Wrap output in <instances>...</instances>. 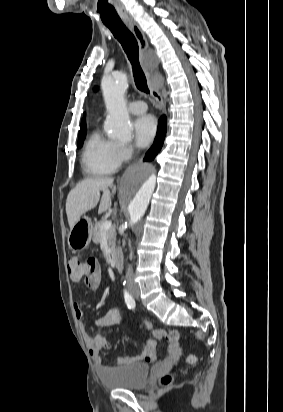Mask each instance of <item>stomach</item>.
I'll use <instances>...</instances> for the list:
<instances>
[{
    "label": "stomach",
    "mask_w": 283,
    "mask_h": 412,
    "mask_svg": "<svg viewBox=\"0 0 283 412\" xmlns=\"http://www.w3.org/2000/svg\"><path fill=\"white\" fill-rule=\"evenodd\" d=\"M93 225L87 218L80 219L68 234V245L72 250L86 248L92 238Z\"/></svg>",
    "instance_id": "obj_1"
}]
</instances>
